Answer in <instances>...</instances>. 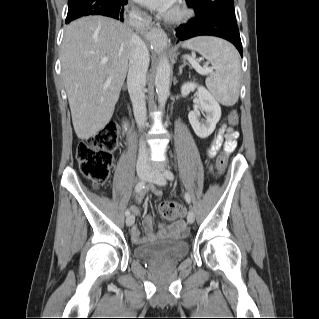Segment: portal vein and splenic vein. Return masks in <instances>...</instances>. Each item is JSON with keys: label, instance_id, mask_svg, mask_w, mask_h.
I'll list each match as a JSON object with an SVG mask.
<instances>
[{"label": "portal vein and splenic vein", "instance_id": "1", "mask_svg": "<svg viewBox=\"0 0 319 319\" xmlns=\"http://www.w3.org/2000/svg\"><path fill=\"white\" fill-rule=\"evenodd\" d=\"M184 59H187L189 62L192 63L193 67L199 74H209L212 73V70L210 68H201L194 57H191L189 55L184 56ZM107 59H103L102 63H106Z\"/></svg>", "mask_w": 319, "mask_h": 319}]
</instances>
